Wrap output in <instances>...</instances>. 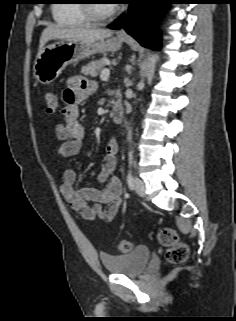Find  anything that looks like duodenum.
Returning a JSON list of instances; mask_svg holds the SVG:
<instances>
[{
	"instance_id": "duodenum-1",
	"label": "duodenum",
	"mask_w": 236,
	"mask_h": 321,
	"mask_svg": "<svg viewBox=\"0 0 236 321\" xmlns=\"http://www.w3.org/2000/svg\"><path fill=\"white\" fill-rule=\"evenodd\" d=\"M112 119L115 123L119 124L123 122L124 119V111L122 106L119 103H115L112 106Z\"/></svg>"
}]
</instances>
